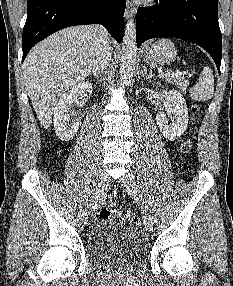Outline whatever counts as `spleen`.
Returning <instances> with one entry per match:
<instances>
[{
    "mask_svg": "<svg viewBox=\"0 0 233 286\" xmlns=\"http://www.w3.org/2000/svg\"><path fill=\"white\" fill-rule=\"evenodd\" d=\"M190 97L196 101H207L214 95L213 71L205 66L199 76L198 82L190 89Z\"/></svg>",
    "mask_w": 233,
    "mask_h": 286,
    "instance_id": "1",
    "label": "spleen"
}]
</instances>
